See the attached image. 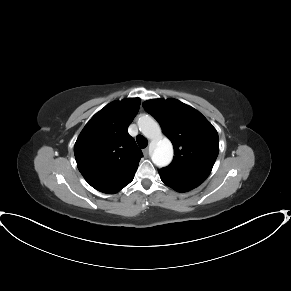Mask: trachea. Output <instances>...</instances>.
<instances>
[{
    "instance_id": "1",
    "label": "trachea",
    "mask_w": 291,
    "mask_h": 291,
    "mask_svg": "<svg viewBox=\"0 0 291 291\" xmlns=\"http://www.w3.org/2000/svg\"><path fill=\"white\" fill-rule=\"evenodd\" d=\"M136 141L141 149L146 148L148 145L147 139L142 135H138Z\"/></svg>"
}]
</instances>
